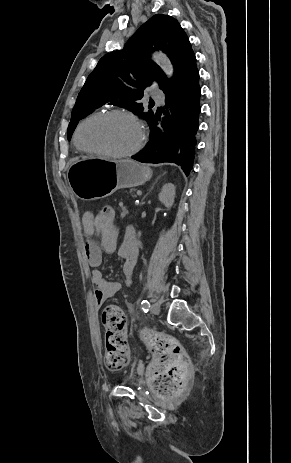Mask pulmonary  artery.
<instances>
[{
	"instance_id": "pulmonary-artery-1",
	"label": "pulmonary artery",
	"mask_w": 291,
	"mask_h": 463,
	"mask_svg": "<svg viewBox=\"0 0 291 463\" xmlns=\"http://www.w3.org/2000/svg\"><path fill=\"white\" fill-rule=\"evenodd\" d=\"M151 96L152 98L158 100V101H162L163 100V93L159 90H154L151 92Z\"/></svg>"
}]
</instances>
